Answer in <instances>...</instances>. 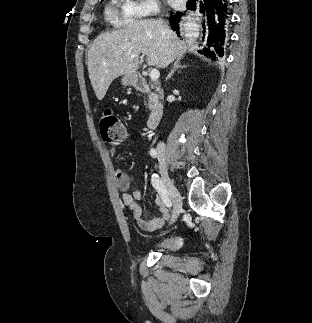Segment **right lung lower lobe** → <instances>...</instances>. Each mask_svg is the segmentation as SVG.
<instances>
[{"instance_id":"obj_1","label":"right lung lower lobe","mask_w":312,"mask_h":323,"mask_svg":"<svg viewBox=\"0 0 312 323\" xmlns=\"http://www.w3.org/2000/svg\"><path fill=\"white\" fill-rule=\"evenodd\" d=\"M187 11L170 14L172 30H180L197 25L199 30V53L216 60L224 55V45L229 32L231 3L228 0H190Z\"/></svg>"}]
</instances>
